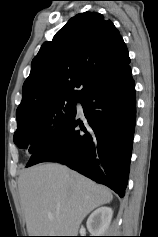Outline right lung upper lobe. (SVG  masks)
Segmentation results:
<instances>
[{"label":"right lung upper lobe","instance_id":"1","mask_svg":"<svg viewBox=\"0 0 158 237\" xmlns=\"http://www.w3.org/2000/svg\"><path fill=\"white\" fill-rule=\"evenodd\" d=\"M129 63L127 47L114 24L96 12L80 13L32 60L16 115L34 112L56 99L82 100Z\"/></svg>","mask_w":158,"mask_h":237}]
</instances>
